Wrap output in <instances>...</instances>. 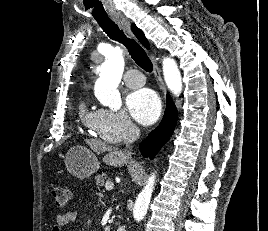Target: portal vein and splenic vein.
Wrapping results in <instances>:
<instances>
[{
    "label": "portal vein and splenic vein",
    "instance_id": "1",
    "mask_svg": "<svg viewBox=\"0 0 268 231\" xmlns=\"http://www.w3.org/2000/svg\"><path fill=\"white\" fill-rule=\"evenodd\" d=\"M113 188H114V184H113L112 182L107 181V182L105 183V189H106V190L110 191V190H112Z\"/></svg>",
    "mask_w": 268,
    "mask_h": 231
}]
</instances>
